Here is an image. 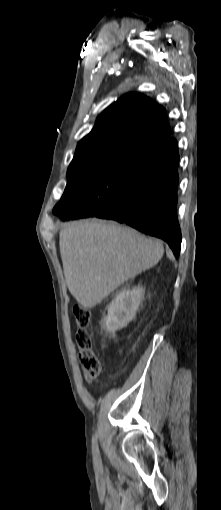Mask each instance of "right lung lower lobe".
I'll return each mask as SVG.
<instances>
[{"instance_id": "1", "label": "right lung lower lobe", "mask_w": 221, "mask_h": 510, "mask_svg": "<svg viewBox=\"0 0 221 510\" xmlns=\"http://www.w3.org/2000/svg\"><path fill=\"white\" fill-rule=\"evenodd\" d=\"M177 141L156 149L139 169L124 195L105 210L86 211L79 205L62 220L98 217L116 220L168 243L176 258L181 246L177 219Z\"/></svg>"}]
</instances>
